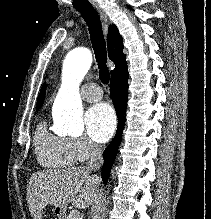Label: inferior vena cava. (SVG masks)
<instances>
[{
    "label": "inferior vena cava",
    "mask_w": 211,
    "mask_h": 219,
    "mask_svg": "<svg viewBox=\"0 0 211 219\" xmlns=\"http://www.w3.org/2000/svg\"><path fill=\"white\" fill-rule=\"evenodd\" d=\"M89 151H90V161L86 168L87 170H90V171H97L101 168L103 164L101 148L96 144H90ZM96 177L97 179H99L98 176Z\"/></svg>",
    "instance_id": "inferior-vena-cava-1"
}]
</instances>
